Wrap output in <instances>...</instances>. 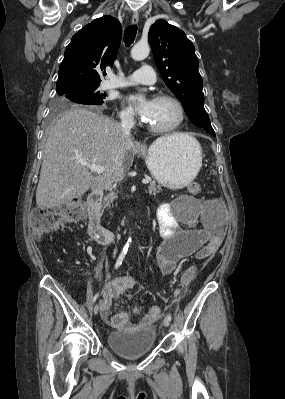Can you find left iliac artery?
<instances>
[{
  "instance_id": "44dca946",
  "label": "left iliac artery",
  "mask_w": 285,
  "mask_h": 399,
  "mask_svg": "<svg viewBox=\"0 0 285 399\" xmlns=\"http://www.w3.org/2000/svg\"><path fill=\"white\" fill-rule=\"evenodd\" d=\"M166 318H167L169 321H171L172 316H171L170 314H167Z\"/></svg>"
}]
</instances>
